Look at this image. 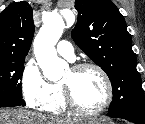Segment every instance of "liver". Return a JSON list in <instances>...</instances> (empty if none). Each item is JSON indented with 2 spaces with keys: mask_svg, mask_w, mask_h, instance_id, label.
<instances>
[{
  "mask_svg": "<svg viewBox=\"0 0 145 124\" xmlns=\"http://www.w3.org/2000/svg\"><path fill=\"white\" fill-rule=\"evenodd\" d=\"M76 118H53L23 109H0V124H79Z\"/></svg>",
  "mask_w": 145,
  "mask_h": 124,
  "instance_id": "liver-1",
  "label": "liver"
}]
</instances>
